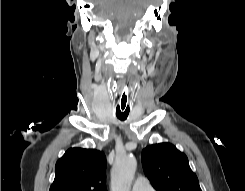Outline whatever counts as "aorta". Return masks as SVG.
Instances as JSON below:
<instances>
[{
	"mask_svg": "<svg viewBox=\"0 0 245 191\" xmlns=\"http://www.w3.org/2000/svg\"><path fill=\"white\" fill-rule=\"evenodd\" d=\"M136 167L137 161L133 155L117 157L111 174V191H131Z\"/></svg>",
	"mask_w": 245,
	"mask_h": 191,
	"instance_id": "762f6f07",
	"label": "aorta"
}]
</instances>
